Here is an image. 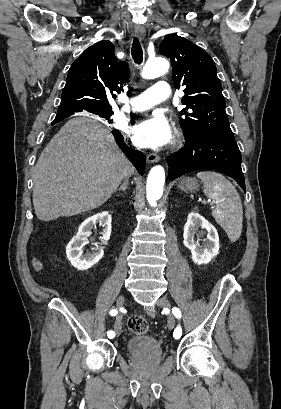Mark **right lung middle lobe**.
Here are the masks:
<instances>
[{"mask_svg": "<svg viewBox=\"0 0 281 409\" xmlns=\"http://www.w3.org/2000/svg\"><path fill=\"white\" fill-rule=\"evenodd\" d=\"M94 114L99 115L100 117H102L103 119H109L110 116L113 114V111H101V112H96ZM56 122H53L52 124H55Z\"/></svg>", "mask_w": 281, "mask_h": 409, "instance_id": "dd1d6c3e", "label": "right lung middle lobe"}]
</instances>
